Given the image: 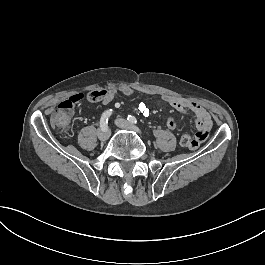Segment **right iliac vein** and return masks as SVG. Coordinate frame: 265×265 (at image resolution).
Wrapping results in <instances>:
<instances>
[{"label": "right iliac vein", "mask_w": 265, "mask_h": 265, "mask_svg": "<svg viewBox=\"0 0 265 265\" xmlns=\"http://www.w3.org/2000/svg\"><path fill=\"white\" fill-rule=\"evenodd\" d=\"M97 136H98L99 140L106 141L110 136L109 129L108 128L106 130L99 129L97 132Z\"/></svg>", "instance_id": "63e3f726"}]
</instances>
